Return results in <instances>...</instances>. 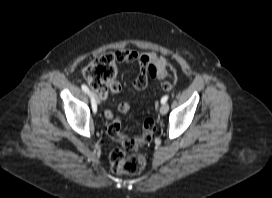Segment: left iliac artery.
<instances>
[{
	"instance_id": "1",
	"label": "left iliac artery",
	"mask_w": 272,
	"mask_h": 198,
	"mask_svg": "<svg viewBox=\"0 0 272 198\" xmlns=\"http://www.w3.org/2000/svg\"><path fill=\"white\" fill-rule=\"evenodd\" d=\"M168 98H169L168 95L163 96L162 99H161V103L165 104L167 102Z\"/></svg>"
}]
</instances>
